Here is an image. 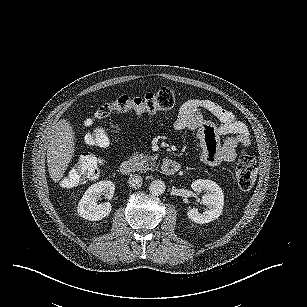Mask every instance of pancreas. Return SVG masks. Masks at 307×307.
<instances>
[{"label": "pancreas", "mask_w": 307, "mask_h": 307, "mask_svg": "<svg viewBox=\"0 0 307 307\" xmlns=\"http://www.w3.org/2000/svg\"><path fill=\"white\" fill-rule=\"evenodd\" d=\"M156 158L155 156H150L148 154L143 153H134L131 162L134 166L135 171L142 172L147 170H154L156 167Z\"/></svg>", "instance_id": "1"}]
</instances>
